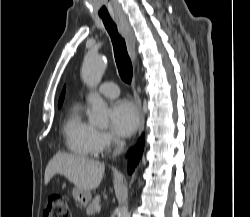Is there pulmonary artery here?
<instances>
[{"mask_svg":"<svg viewBox=\"0 0 250 217\" xmlns=\"http://www.w3.org/2000/svg\"><path fill=\"white\" fill-rule=\"evenodd\" d=\"M100 94L107 98H116L119 96L120 91L118 86L113 82H105L101 85Z\"/></svg>","mask_w":250,"mask_h":217,"instance_id":"obj_1","label":"pulmonary artery"}]
</instances>
